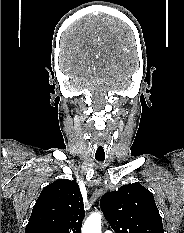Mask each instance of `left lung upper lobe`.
<instances>
[{"instance_id":"obj_1","label":"left lung upper lobe","mask_w":184,"mask_h":233,"mask_svg":"<svg viewBox=\"0 0 184 233\" xmlns=\"http://www.w3.org/2000/svg\"><path fill=\"white\" fill-rule=\"evenodd\" d=\"M100 205L115 233H164L153 194L138 182L105 193Z\"/></svg>"}]
</instances>
